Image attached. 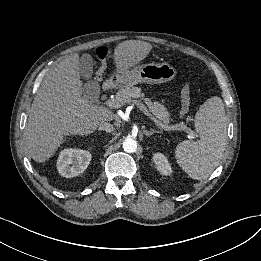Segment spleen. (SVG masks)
Segmentation results:
<instances>
[{
    "instance_id": "obj_1",
    "label": "spleen",
    "mask_w": 261,
    "mask_h": 261,
    "mask_svg": "<svg viewBox=\"0 0 261 261\" xmlns=\"http://www.w3.org/2000/svg\"><path fill=\"white\" fill-rule=\"evenodd\" d=\"M198 141L184 140L175 149L180 167L190 178H208L219 165L227 142V120L222 100L214 96L200 106L195 116Z\"/></svg>"
}]
</instances>
